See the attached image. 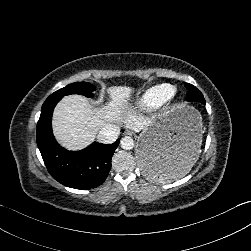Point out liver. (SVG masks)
Returning a JSON list of instances; mask_svg holds the SVG:
<instances>
[{"label":"liver","instance_id":"6515ba94","mask_svg":"<svg viewBox=\"0 0 251 251\" xmlns=\"http://www.w3.org/2000/svg\"><path fill=\"white\" fill-rule=\"evenodd\" d=\"M110 102L102 109H92L88 99L81 95L64 97L53 113V132L58 142L69 150H80L89 145L96 134L108 123L123 122L127 129L139 132L150 120L127 111L125 104L132 89L127 86H112L107 89Z\"/></svg>","mask_w":251,"mask_h":251}]
</instances>
